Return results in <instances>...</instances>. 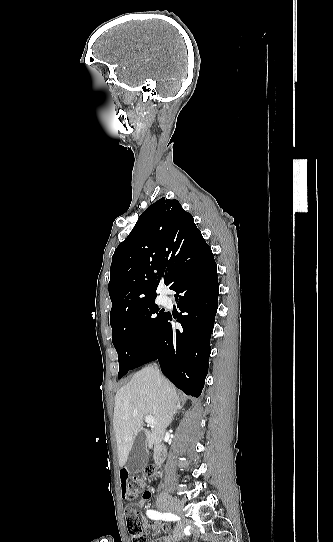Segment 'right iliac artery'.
Segmentation results:
<instances>
[{
  "mask_svg": "<svg viewBox=\"0 0 333 542\" xmlns=\"http://www.w3.org/2000/svg\"><path fill=\"white\" fill-rule=\"evenodd\" d=\"M147 516L151 519H162V520H179L180 518L177 517L176 515H173L171 513H160V512H157V511H154V510H148L147 511Z\"/></svg>",
  "mask_w": 333,
  "mask_h": 542,
  "instance_id": "right-iliac-artery-1",
  "label": "right iliac artery"
}]
</instances>
